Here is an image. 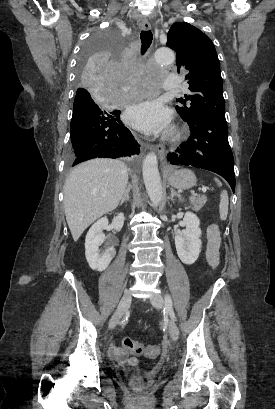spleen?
<instances>
[{
  "label": "spleen",
  "mask_w": 275,
  "mask_h": 409,
  "mask_svg": "<svg viewBox=\"0 0 275 409\" xmlns=\"http://www.w3.org/2000/svg\"><path fill=\"white\" fill-rule=\"evenodd\" d=\"M216 180L218 186H222V182L218 180V178H214ZM228 205H229V198L227 190H222L220 194V202H219V213L221 221H226L228 215Z\"/></svg>",
  "instance_id": "3e777b00"
}]
</instances>
